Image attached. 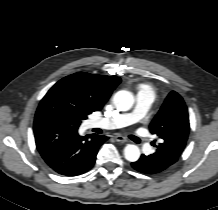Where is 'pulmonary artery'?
<instances>
[{
  "mask_svg": "<svg viewBox=\"0 0 218 210\" xmlns=\"http://www.w3.org/2000/svg\"><path fill=\"white\" fill-rule=\"evenodd\" d=\"M154 100V93L149 87H142L137 94L135 108L128 113H122L110 118H94L88 121L89 128L114 129L132 125L139 121L150 109ZM142 148L151 150V144L147 139L142 140Z\"/></svg>",
  "mask_w": 218,
  "mask_h": 210,
  "instance_id": "obj_1",
  "label": "pulmonary artery"
}]
</instances>
